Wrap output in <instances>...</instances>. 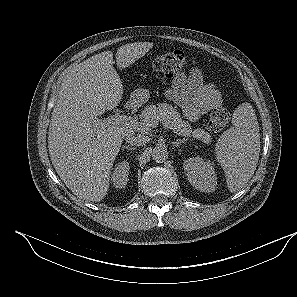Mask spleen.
Returning a JSON list of instances; mask_svg holds the SVG:
<instances>
[{"label":"spleen","instance_id":"1","mask_svg":"<svg viewBox=\"0 0 297 297\" xmlns=\"http://www.w3.org/2000/svg\"><path fill=\"white\" fill-rule=\"evenodd\" d=\"M233 126L218 139L215 156L225 171L231 192L241 190L253 176L260 153L256 114L249 103L239 105L232 116Z\"/></svg>","mask_w":297,"mask_h":297}]
</instances>
